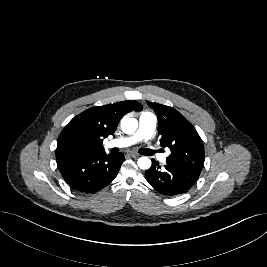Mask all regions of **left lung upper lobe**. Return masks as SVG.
<instances>
[{
	"label": "left lung upper lobe",
	"instance_id": "5c2ea615",
	"mask_svg": "<svg viewBox=\"0 0 267 267\" xmlns=\"http://www.w3.org/2000/svg\"><path fill=\"white\" fill-rule=\"evenodd\" d=\"M147 104L157 114L160 145L171 151L166 163L200 173L204 165V146L193 125L172 107Z\"/></svg>",
	"mask_w": 267,
	"mask_h": 267
}]
</instances>
